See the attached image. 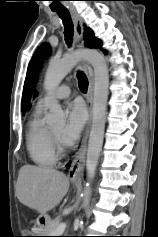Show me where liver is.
Instances as JSON below:
<instances>
[{"instance_id":"obj_1","label":"liver","mask_w":158,"mask_h":237,"mask_svg":"<svg viewBox=\"0 0 158 237\" xmlns=\"http://www.w3.org/2000/svg\"><path fill=\"white\" fill-rule=\"evenodd\" d=\"M69 189V179L58 170L26 164L19 170L15 193L18 200L41 214L57 206Z\"/></svg>"}]
</instances>
